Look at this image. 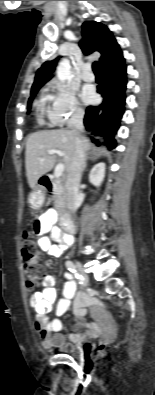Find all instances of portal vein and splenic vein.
I'll use <instances>...</instances> for the list:
<instances>
[{"instance_id": "portal-vein-and-splenic-vein-1", "label": "portal vein and splenic vein", "mask_w": 155, "mask_h": 395, "mask_svg": "<svg viewBox=\"0 0 155 395\" xmlns=\"http://www.w3.org/2000/svg\"><path fill=\"white\" fill-rule=\"evenodd\" d=\"M48 154L49 155L58 154L59 156H63V152L61 150H56V149L49 150ZM41 160H43V159H41ZM63 171H64V164H62V163L58 164L54 170L55 178L58 179L63 174Z\"/></svg>"}]
</instances>
